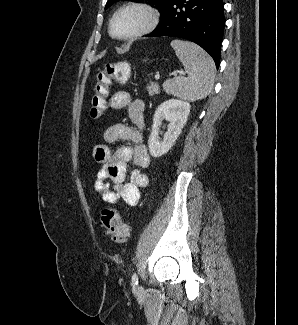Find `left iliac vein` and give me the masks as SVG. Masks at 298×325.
I'll return each instance as SVG.
<instances>
[{
	"mask_svg": "<svg viewBox=\"0 0 298 325\" xmlns=\"http://www.w3.org/2000/svg\"><path fill=\"white\" fill-rule=\"evenodd\" d=\"M141 289H142V287L139 286V287H138V290H141Z\"/></svg>",
	"mask_w": 298,
	"mask_h": 325,
	"instance_id": "4c4485c4",
	"label": "left iliac vein"
}]
</instances>
